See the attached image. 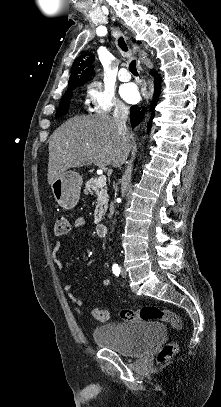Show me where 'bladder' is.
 Masks as SVG:
<instances>
[{"label":"bladder","mask_w":221,"mask_h":407,"mask_svg":"<svg viewBox=\"0 0 221 407\" xmlns=\"http://www.w3.org/2000/svg\"><path fill=\"white\" fill-rule=\"evenodd\" d=\"M165 333L162 324L143 322L110 323L93 330L96 345L111 348L118 354L133 357L147 351L154 340Z\"/></svg>","instance_id":"31cf9c89"}]
</instances>
